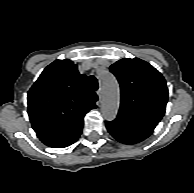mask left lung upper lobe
<instances>
[{"mask_svg": "<svg viewBox=\"0 0 194 193\" xmlns=\"http://www.w3.org/2000/svg\"><path fill=\"white\" fill-rule=\"evenodd\" d=\"M121 89L118 115L156 125L162 119L168 99L164 77L149 63L124 58L110 66Z\"/></svg>", "mask_w": 194, "mask_h": 193, "instance_id": "obj_1", "label": "left lung upper lobe"}]
</instances>
